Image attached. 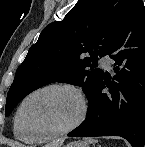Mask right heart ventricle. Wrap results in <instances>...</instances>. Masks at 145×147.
Instances as JSON below:
<instances>
[{"label":"right heart ventricle","instance_id":"obj_1","mask_svg":"<svg viewBox=\"0 0 145 147\" xmlns=\"http://www.w3.org/2000/svg\"><path fill=\"white\" fill-rule=\"evenodd\" d=\"M14 134L15 136L24 142H34V140L31 138V136L23 131H21L18 126L16 125L14 121Z\"/></svg>","mask_w":145,"mask_h":147}]
</instances>
